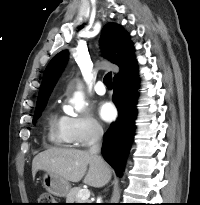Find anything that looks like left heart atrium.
<instances>
[{"label": "left heart atrium", "mask_w": 200, "mask_h": 205, "mask_svg": "<svg viewBox=\"0 0 200 205\" xmlns=\"http://www.w3.org/2000/svg\"><path fill=\"white\" fill-rule=\"evenodd\" d=\"M99 114L104 121L110 122L115 119L117 112L111 102L105 101L99 107Z\"/></svg>", "instance_id": "left-heart-atrium-1"}]
</instances>
